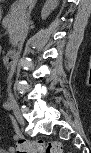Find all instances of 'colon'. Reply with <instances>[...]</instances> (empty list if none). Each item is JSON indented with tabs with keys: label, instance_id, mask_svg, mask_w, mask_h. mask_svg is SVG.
Here are the masks:
<instances>
[{
	"label": "colon",
	"instance_id": "obj_1",
	"mask_svg": "<svg viewBox=\"0 0 91 153\" xmlns=\"http://www.w3.org/2000/svg\"><path fill=\"white\" fill-rule=\"evenodd\" d=\"M16 153H62L64 149L58 142H46L44 140L19 139L14 146Z\"/></svg>",
	"mask_w": 91,
	"mask_h": 153
}]
</instances>
